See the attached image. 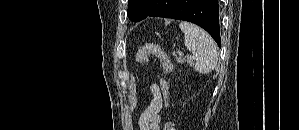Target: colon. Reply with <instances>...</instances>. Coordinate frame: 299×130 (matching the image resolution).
<instances>
[{
    "instance_id": "1",
    "label": "colon",
    "mask_w": 299,
    "mask_h": 130,
    "mask_svg": "<svg viewBox=\"0 0 299 130\" xmlns=\"http://www.w3.org/2000/svg\"><path fill=\"white\" fill-rule=\"evenodd\" d=\"M149 56L157 57L166 72L172 70V62L167 54L155 43H145L137 51L135 56V61L138 64H142L147 61ZM162 90L165 99L167 100L170 93L169 85L166 82L162 83ZM163 130H174L172 123L167 120L164 124Z\"/></svg>"
}]
</instances>
